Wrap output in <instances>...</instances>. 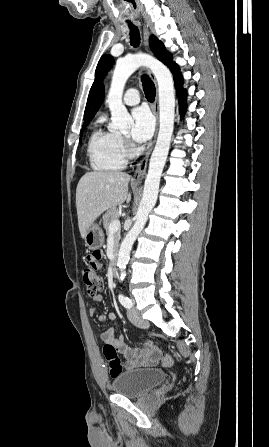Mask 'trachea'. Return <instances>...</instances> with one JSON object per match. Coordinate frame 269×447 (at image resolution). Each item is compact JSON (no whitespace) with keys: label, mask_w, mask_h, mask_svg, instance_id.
Wrapping results in <instances>:
<instances>
[{"label":"trachea","mask_w":269,"mask_h":447,"mask_svg":"<svg viewBox=\"0 0 269 447\" xmlns=\"http://www.w3.org/2000/svg\"><path fill=\"white\" fill-rule=\"evenodd\" d=\"M129 25L131 28V31H130L131 45H133L134 47H137L140 43L139 31L136 26H133L131 23H129ZM141 80H142L143 90H144L146 99L149 102H153L155 99V94H156V89H155L154 83L146 75H144Z\"/></svg>","instance_id":"obj_1"}]
</instances>
